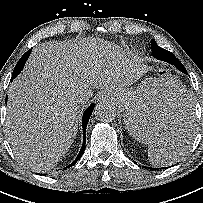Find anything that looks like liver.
I'll list each match as a JSON object with an SVG mask.
<instances>
[{"label": "liver", "mask_w": 203, "mask_h": 203, "mask_svg": "<svg viewBox=\"0 0 203 203\" xmlns=\"http://www.w3.org/2000/svg\"><path fill=\"white\" fill-rule=\"evenodd\" d=\"M133 71L103 40L46 42L34 48L8 90L5 126L15 156L35 172L51 170L74 142L80 109L93 89L112 99L125 91ZM80 98L85 102L79 103ZM190 129L185 118L168 111L150 136L159 144L186 136Z\"/></svg>", "instance_id": "1"}]
</instances>
